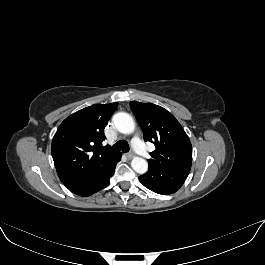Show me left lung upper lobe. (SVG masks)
<instances>
[{"label":"left lung upper lobe","mask_w":265,"mask_h":265,"mask_svg":"<svg viewBox=\"0 0 265 265\" xmlns=\"http://www.w3.org/2000/svg\"><path fill=\"white\" fill-rule=\"evenodd\" d=\"M130 107L143 131L145 141L156 150L148 160L152 169H191L192 146L184 129L166 109L152 103L130 102Z\"/></svg>","instance_id":"5c2ea615"}]
</instances>
